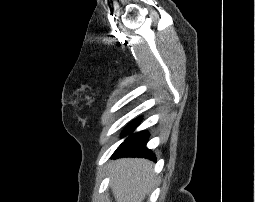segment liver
Masks as SVG:
<instances>
[{
	"instance_id": "6515ba94",
	"label": "liver",
	"mask_w": 255,
	"mask_h": 202,
	"mask_svg": "<svg viewBox=\"0 0 255 202\" xmlns=\"http://www.w3.org/2000/svg\"><path fill=\"white\" fill-rule=\"evenodd\" d=\"M152 166V162L139 158L115 161L110 186L116 202H143L154 181Z\"/></svg>"
}]
</instances>
